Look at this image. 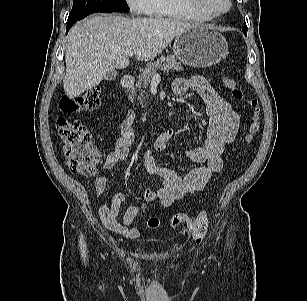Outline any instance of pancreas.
<instances>
[{"instance_id":"pancreas-1","label":"pancreas","mask_w":307,"mask_h":301,"mask_svg":"<svg viewBox=\"0 0 307 301\" xmlns=\"http://www.w3.org/2000/svg\"><path fill=\"white\" fill-rule=\"evenodd\" d=\"M157 70L163 71H182L183 68L175 59L174 56L171 55H161L156 61L149 62L142 73L138 76V83L137 86L141 92L139 94V104L143 105L146 103V98L144 97L145 91L143 89H147L153 75L156 73ZM135 95V89L131 90L130 98Z\"/></svg>"}]
</instances>
